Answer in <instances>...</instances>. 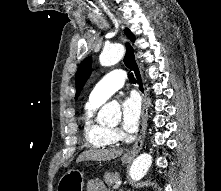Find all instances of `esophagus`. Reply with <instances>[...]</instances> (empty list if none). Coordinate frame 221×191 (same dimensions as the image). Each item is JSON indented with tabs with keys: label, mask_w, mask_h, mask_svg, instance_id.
<instances>
[{
	"label": "esophagus",
	"mask_w": 221,
	"mask_h": 191,
	"mask_svg": "<svg viewBox=\"0 0 221 191\" xmlns=\"http://www.w3.org/2000/svg\"><path fill=\"white\" fill-rule=\"evenodd\" d=\"M124 46L126 48V54L124 57L125 65L132 69L134 77L137 82V89L142 97V129L141 133L133 145V147L127 151L126 156L128 157H135L143 147L144 138L147 130V120H148V107H149V100L147 97V92L144 85L143 75L140 69V66L137 62L136 54L134 47L130 41L127 39H123Z\"/></svg>",
	"instance_id": "34e87169"
}]
</instances>
